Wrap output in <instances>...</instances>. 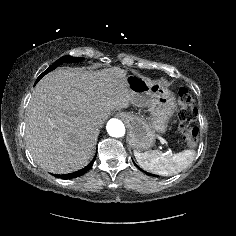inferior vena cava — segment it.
I'll return each mask as SVG.
<instances>
[{"instance_id": "inferior-vena-cava-1", "label": "inferior vena cava", "mask_w": 236, "mask_h": 236, "mask_svg": "<svg viewBox=\"0 0 236 236\" xmlns=\"http://www.w3.org/2000/svg\"><path fill=\"white\" fill-rule=\"evenodd\" d=\"M92 126L98 128L100 126L99 122L95 121L92 123Z\"/></svg>"}]
</instances>
